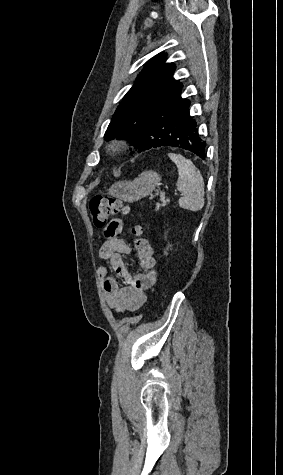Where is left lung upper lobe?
Returning a JSON list of instances; mask_svg holds the SVG:
<instances>
[{
    "label": "left lung upper lobe",
    "mask_w": 283,
    "mask_h": 475,
    "mask_svg": "<svg viewBox=\"0 0 283 475\" xmlns=\"http://www.w3.org/2000/svg\"><path fill=\"white\" fill-rule=\"evenodd\" d=\"M165 60L162 54L148 62L116 109L105 132L106 140L122 134L138 136L152 109L181 84L172 77L175 66Z\"/></svg>",
    "instance_id": "left-lung-upper-lobe-1"
}]
</instances>
